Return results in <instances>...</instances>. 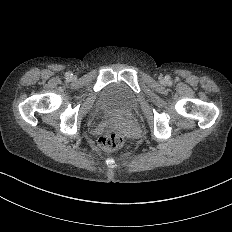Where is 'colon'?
Wrapping results in <instances>:
<instances>
[{
  "label": "colon",
  "mask_w": 232,
  "mask_h": 232,
  "mask_svg": "<svg viewBox=\"0 0 232 232\" xmlns=\"http://www.w3.org/2000/svg\"><path fill=\"white\" fill-rule=\"evenodd\" d=\"M127 140V128L119 120L110 121L101 135V149H115Z\"/></svg>",
  "instance_id": "5ec220e1"
}]
</instances>
